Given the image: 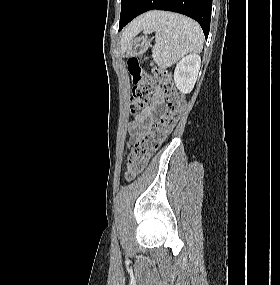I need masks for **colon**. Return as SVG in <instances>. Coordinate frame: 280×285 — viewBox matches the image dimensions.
Returning a JSON list of instances; mask_svg holds the SVG:
<instances>
[{
  "mask_svg": "<svg viewBox=\"0 0 280 285\" xmlns=\"http://www.w3.org/2000/svg\"><path fill=\"white\" fill-rule=\"evenodd\" d=\"M128 70L131 76V111L147 106L151 100L153 87L158 83L165 95L164 115L133 144L126 162L125 177L133 180L144 170L150 156L161 146L174 129L185 106L184 97L174 85L172 74L165 69L153 66L151 73L145 71L138 59H130Z\"/></svg>",
  "mask_w": 280,
  "mask_h": 285,
  "instance_id": "1",
  "label": "colon"
}]
</instances>
